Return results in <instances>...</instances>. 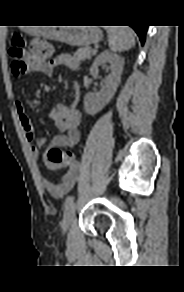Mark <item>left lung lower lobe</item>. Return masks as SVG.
<instances>
[{
    "label": "left lung lower lobe",
    "mask_w": 184,
    "mask_h": 292,
    "mask_svg": "<svg viewBox=\"0 0 184 292\" xmlns=\"http://www.w3.org/2000/svg\"><path fill=\"white\" fill-rule=\"evenodd\" d=\"M131 27L136 31L137 35L139 36V38L141 40V44L143 45L148 26H145V25H132Z\"/></svg>",
    "instance_id": "left-lung-lower-lobe-1"
}]
</instances>
